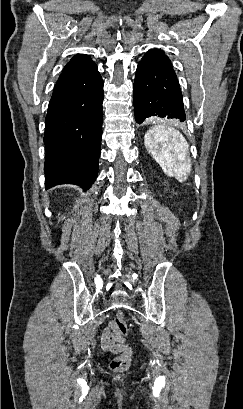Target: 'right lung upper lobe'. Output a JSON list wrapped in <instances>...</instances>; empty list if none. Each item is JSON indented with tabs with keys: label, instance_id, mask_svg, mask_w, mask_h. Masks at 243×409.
<instances>
[{
	"label": "right lung upper lobe",
	"instance_id": "right-lung-upper-lobe-1",
	"mask_svg": "<svg viewBox=\"0 0 243 409\" xmlns=\"http://www.w3.org/2000/svg\"><path fill=\"white\" fill-rule=\"evenodd\" d=\"M96 66L92 59L85 54H77L64 67V73H80Z\"/></svg>",
	"mask_w": 243,
	"mask_h": 409
}]
</instances>
